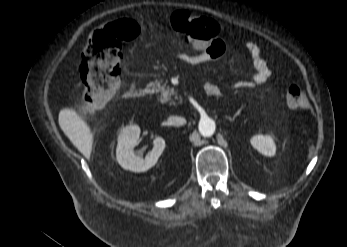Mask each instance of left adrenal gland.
Returning a JSON list of instances; mask_svg holds the SVG:
<instances>
[{
  "label": "left adrenal gland",
  "instance_id": "a2214340",
  "mask_svg": "<svg viewBox=\"0 0 347 247\" xmlns=\"http://www.w3.org/2000/svg\"><path fill=\"white\" fill-rule=\"evenodd\" d=\"M238 115H239V112H237V113L233 116V118L229 117V118H228L229 121H230V122H233V121L235 120V118H236Z\"/></svg>",
  "mask_w": 347,
  "mask_h": 247
}]
</instances>
